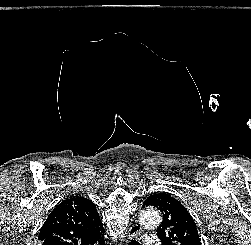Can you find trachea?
Masks as SVG:
<instances>
[{"instance_id": "trachea-1", "label": "trachea", "mask_w": 251, "mask_h": 245, "mask_svg": "<svg viewBox=\"0 0 251 245\" xmlns=\"http://www.w3.org/2000/svg\"><path fill=\"white\" fill-rule=\"evenodd\" d=\"M128 245H140V243L134 241V240H131Z\"/></svg>"}]
</instances>
